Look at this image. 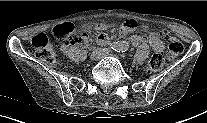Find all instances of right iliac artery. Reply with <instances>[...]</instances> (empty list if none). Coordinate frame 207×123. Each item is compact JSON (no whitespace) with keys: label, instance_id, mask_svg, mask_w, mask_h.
Returning a JSON list of instances; mask_svg holds the SVG:
<instances>
[{"label":"right iliac artery","instance_id":"1","mask_svg":"<svg viewBox=\"0 0 207 123\" xmlns=\"http://www.w3.org/2000/svg\"><path fill=\"white\" fill-rule=\"evenodd\" d=\"M125 47V44L124 43H116V44H113L111 45V49H116V48H124Z\"/></svg>","mask_w":207,"mask_h":123}]
</instances>
